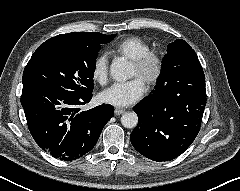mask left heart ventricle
<instances>
[{
	"mask_svg": "<svg viewBox=\"0 0 240 191\" xmlns=\"http://www.w3.org/2000/svg\"><path fill=\"white\" fill-rule=\"evenodd\" d=\"M131 76H137V77H139L141 79V76H140L138 70L135 68L134 65L132 66V69H131Z\"/></svg>",
	"mask_w": 240,
	"mask_h": 191,
	"instance_id": "left-heart-ventricle-1",
	"label": "left heart ventricle"
}]
</instances>
